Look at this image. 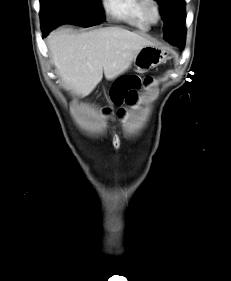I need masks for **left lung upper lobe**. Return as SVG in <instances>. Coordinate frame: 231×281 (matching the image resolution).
Here are the masks:
<instances>
[{
  "label": "left lung upper lobe",
  "instance_id": "obj_1",
  "mask_svg": "<svg viewBox=\"0 0 231 281\" xmlns=\"http://www.w3.org/2000/svg\"><path fill=\"white\" fill-rule=\"evenodd\" d=\"M160 5L164 21V38L169 41L172 32H185V1L184 0H156Z\"/></svg>",
  "mask_w": 231,
  "mask_h": 281
}]
</instances>
